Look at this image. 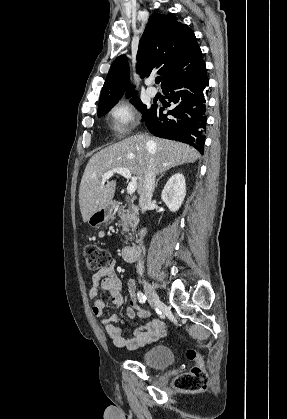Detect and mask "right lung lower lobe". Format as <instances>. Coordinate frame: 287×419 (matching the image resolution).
Masks as SVG:
<instances>
[{
  "mask_svg": "<svg viewBox=\"0 0 287 419\" xmlns=\"http://www.w3.org/2000/svg\"><path fill=\"white\" fill-rule=\"evenodd\" d=\"M206 67L190 77L181 78L164 86L163 92L174 106L167 114L164 107L153 105V110L144 121L155 136L180 141L204 152L206 110L208 101Z\"/></svg>",
  "mask_w": 287,
  "mask_h": 419,
  "instance_id": "obj_1",
  "label": "right lung lower lobe"
}]
</instances>
